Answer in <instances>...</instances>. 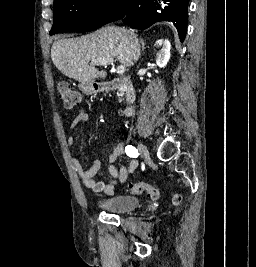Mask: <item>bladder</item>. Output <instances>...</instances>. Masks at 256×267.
Here are the masks:
<instances>
[{"instance_id":"bladder-1","label":"bladder","mask_w":256,"mask_h":267,"mask_svg":"<svg viewBox=\"0 0 256 267\" xmlns=\"http://www.w3.org/2000/svg\"><path fill=\"white\" fill-rule=\"evenodd\" d=\"M140 199L133 195L118 194L98 200L95 206L109 213L129 212L139 206Z\"/></svg>"}]
</instances>
